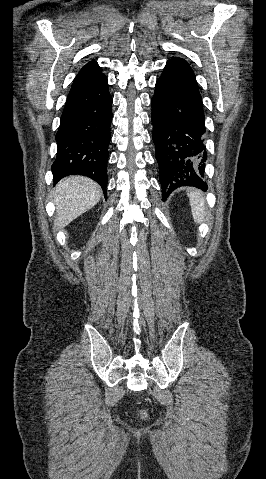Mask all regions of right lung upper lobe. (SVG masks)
Here are the masks:
<instances>
[{
	"label": "right lung upper lobe",
	"instance_id": "cb5924a9",
	"mask_svg": "<svg viewBox=\"0 0 266 479\" xmlns=\"http://www.w3.org/2000/svg\"><path fill=\"white\" fill-rule=\"evenodd\" d=\"M100 67L98 66L96 61H90L86 65L83 66V68L80 70V72L77 74L74 80L76 79H86V78H91L94 76H97L101 74Z\"/></svg>",
	"mask_w": 266,
	"mask_h": 479
}]
</instances>
